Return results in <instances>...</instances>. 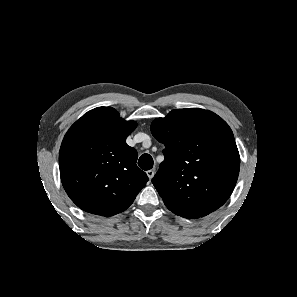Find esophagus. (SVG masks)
I'll return each mask as SVG.
<instances>
[{
    "mask_svg": "<svg viewBox=\"0 0 297 297\" xmlns=\"http://www.w3.org/2000/svg\"><path fill=\"white\" fill-rule=\"evenodd\" d=\"M154 174H155V171L153 169L147 171V176L149 179H152Z\"/></svg>",
    "mask_w": 297,
    "mask_h": 297,
    "instance_id": "obj_1",
    "label": "esophagus"
}]
</instances>
